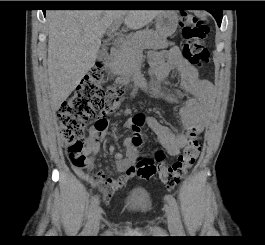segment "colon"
I'll return each instance as SVG.
<instances>
[{"instance_id": "1", "label": "colon", "mask_w": 265, "mask_h": 245, "mask_svg": "<svg viewBox=\"0 0 265 245\" xmlns=\"http://www.w3.org/2000/svg\"><path fill=\"white\" fill-rule=\"evenodd\" d=\"M208 25L205 19L184 14L182 17V38L184 41L183 56L198 66L207 65L210 55L204 40L207 36ZM106 65L98 62L73 90L58 109L60 135L68 160L75 167H83L86 163L84 155L85 136L88 122L96 117L112 113L118 106L123 90L105 86ZM145 121L143 114H136L131 120L134 132L132 143L135 146L143 144L140 133ZM105 123L99 120L97 127ZM202 149L200 132L191 133L187 144L172 163L164 161L165 154L157 151L154 155L141 157L132 171L142 179L160 177L169 189L174 188L195 164Z\"/></svg>"}]
</instances>
